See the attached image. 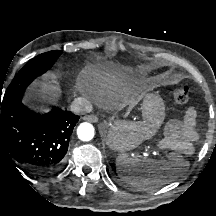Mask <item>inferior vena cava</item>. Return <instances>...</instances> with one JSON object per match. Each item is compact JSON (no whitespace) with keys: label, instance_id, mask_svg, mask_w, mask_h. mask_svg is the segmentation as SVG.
Returning a JSON list of instances; mask_svg holds the SVG:
<instances>
[{"label":"inferior vena cava","instance_id":"1","mask_svg":"<svg viewBox=\"0 0 216 216\" xmlns=\"http://www.w3.org/2000/svg\"><path fill=\"white\" fill-rule=\"evenodd\" d=\"M92 108V104L83 97L75 98L71 103V111L78 115L89 113Z\"/></svg>","mask_w":216,"mask_h":216}]
</instances>
